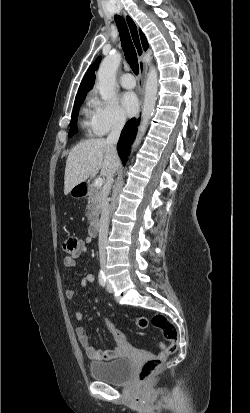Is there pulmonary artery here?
<instances>
[{
	"mask_svg": "<svg viewBox=\"0 0 250 413\" xmlns=\"http://www.w3.org/2000/svg\"><path fill=\"white\" fill-rule=\"evenodd\" d=\"M120 83L124 88L132 89L135 87V78L130 73L122 74L120 77Z\"/></svg>",
	"mask_w": 250,
	"mask_h": 413,
	"instance_id": "1",
	"label": "pulmonary artery"
}]
</instances>
